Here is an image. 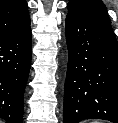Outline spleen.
<instances>
[{
  "mask_svg": "<svg viewBox=\"0 0 118 123\" xmlns=\"http://www.w3.org/2000/svg\"><path fill=\"white\" fill-rule=\"evenodd\" d=\"M91 123H101V122H99V121H94V122H91Z\"/></svg>",
  "mask_w": 118,
  "mask_h": 123,
  "instance_id": "1",
  "label": "spleen"
}]
</instances>
